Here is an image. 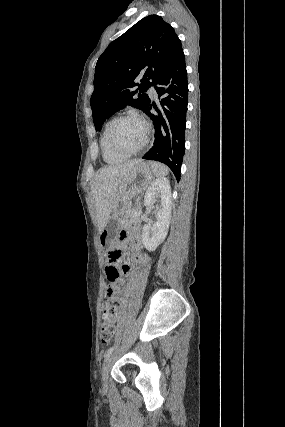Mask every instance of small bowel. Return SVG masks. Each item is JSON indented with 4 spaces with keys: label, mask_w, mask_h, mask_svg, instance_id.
<instances>
[{
    "label": "small bowel",
    "mask_w": 285,
    "mask_h": 427,
    "mask_svg": "<svg viewBox=\"0 0 285 427\" xmlns=\"http://www.w3.org/2000/svg\"><path fill=\"white\" fill-rule=\"evenodd\" d=\"M128 246L131 250L132 253V260L137 262V263H141V262H145L147 261V256L145 254L142 253L141 249V240H140V227L139 226H135L132 231L130 232V237L128 239ZM110 290V297L113 300H119L120 305L118 306V315L115 319L114 322H117L118 319L120 318L121 313H123L124 311V301L121 297L123 291L122 288L120 286H111V287H107V290ZM107 297V293L105 295V298Z\"/></svg>",
    "instance_id": "obj_1"
}]
</instances>
